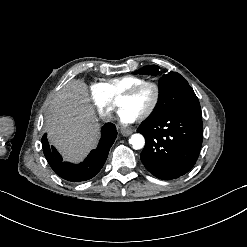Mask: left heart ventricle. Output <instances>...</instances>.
<instances>
[{
  "label": "left heart ventricle",
  "instance_id": "obj_1",
  "mask_svg": "<svg viewBox=\"0 0 247 247\" xmlns=\"http://www.w3.org/2000/svg\"><path fill=\"white\" fill-rule=\"evenodd\" d=\"M151 97L152 91L149 88H145L132 101L125 100V103L134 106L143 115L149 109Z\"/></svg>",
  "mask_w": 247,
  "mask_h": 247
}]
</instances>
